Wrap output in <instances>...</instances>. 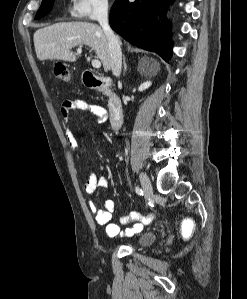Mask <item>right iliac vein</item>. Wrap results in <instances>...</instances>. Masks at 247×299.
Segmentation results:
<instances>
[{
    "mask_svg": "<svg viewBox=\"0 0 247 299\" xmlns=\"http://www.w3.org/2000/svg\"><path fill=\"white\" fill-rule=\"evenodd\" d=\"M140 182L146 194V198L150 200L153 196V189H152V184L150 182V179L145 173L140 174Z\"/></svg>",
    "mask_w": 247,
    "mask_h": 299,
    "instance_id": "63e3f726",
    "label": "right iliac vein"
}]
</instances>
